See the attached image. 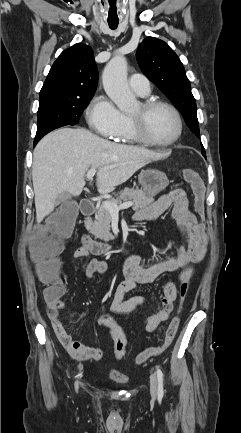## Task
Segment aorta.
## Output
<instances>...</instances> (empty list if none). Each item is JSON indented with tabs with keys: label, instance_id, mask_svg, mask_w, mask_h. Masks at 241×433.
<instances>
[{
	"label": "aorta",
	"instance_id": "obj_1",
	"mask_svg": "<svg viewBox=\"0 0 241 433\" xmlns=\"http://www.w3.org/2000/svg\"><path fill=\"white\" fill-rule=\"evenodd\" d=\"M102 79L106 94L121 111H129L137 104L136 97L130 91L127 83L125 57H113L105 66Z\"/></svg>",
	"mask_w": 241,
	"mask_h": 433
}]
</instances>
